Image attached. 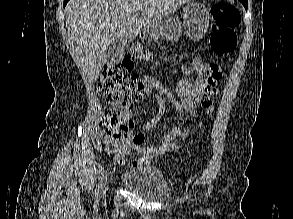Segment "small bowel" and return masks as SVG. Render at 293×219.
I'll return each instance as SVG.
<instances>
[{
  "mask_svg": "<svg viewBox=\"0 0 293 219\" xmlns=\"http://www.w3.org/2000/svg\"><path fill=\"white\" fill-rule=\"evenodd\" d=\"M194 67L186 64L182 66L184 78L179 82L177 92L178 98L164 88L158 81L145 77L143 79V87L148 94H153L159 105L160 111L156 116L144 121L142 128L144 131H152L159 127L167 118L169 113L168 107L161 99V95L166 96L169 103L176 109L178 113H188L193 118L196 117V105L200 103L208 112L212 110V100L217 93L216 81L207 87L206 83L209 79L208 75L200 73L195 83L190 79L194 73ZM133 120H130L128 126L120 131L108 132L101 131V137L105 144L106 151L113 155V158L119 164L125 163V157L130 153L131 149L138 150L141 155L131 160L133 167H141L148 165L154 157L162 156L168 152L179 148V145L173 140L181 136L186 139L190 134V130L180 131L174 125L164 131L161 141L157 145H151L143 133H133Z\"/></svg>",
  "mask_w": 293,
  "mask_h": 219,
  "instance_id": "c3829d8e",
  "label": "small bowel"
}]
</instances>
